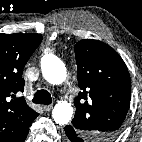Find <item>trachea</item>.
Wrapping results in <instances>:
<instances>
[{
  "instance_id": "1",
  "label": "trachea",
  "mask_w": 142,
  "mask_h": 142,
  "mask_svg": "<svg viewBox=\"0 0 142 142\" xmlns=\"http://www.w3.org/2000/svg\"><path fill=\"white\" fill-rule=\"evenodd\" d=\"M32 101L33 103H36V104L49 105L52 102V98L50 93L47 90H38L35 93Z\"/></svg>"
}]
</instances>
